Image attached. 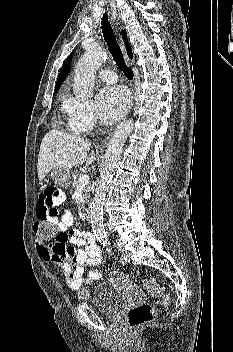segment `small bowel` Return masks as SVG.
Instances as JSON below:
<instances>
[{
    "label": "small bowel",
    "instance_id": "small-bowel-1",
    "mask_svg": "<svg viewBox=\"0 0 233 352\" xmlns=\"http://www.w3.org/2000/svg\"><path fill=\"white\" fill-rule=\"evenodd\" d=\"M66 199L65 193L51 185L43 186L39 192L36 215L38 220L51 222L58 235L45 242L36 240V248L41 258L60 270L71 291L98 281L102 274L90 270L85 277V266H98L106 262L95 237L89 232L72 229L74 218L69 209H59Z\"/></svg>",
    "mask_w": 233,
    "mask_h": 352
}]
</instances>
